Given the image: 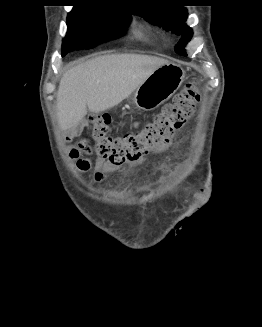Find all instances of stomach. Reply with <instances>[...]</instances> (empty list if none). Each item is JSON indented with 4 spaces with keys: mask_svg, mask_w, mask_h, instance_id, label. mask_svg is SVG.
<instances>
[{
    "mask_svg": "<svg viewBox=\"0 0 262 327\" xmlns=\"http://www.w3.org/2000/svg\"><path fill=\"white\" fill-rule=\"evenodd\" d=\"M185 78L183 68L167 63L157 68L130 96L131 103L138 109L154 110L179 89Z\"/></svg>",
    "mask_w": 262,
    "mask_h": 327,
    "instance_id": "obj_1",
    "label": "stomach"
}]
</instances>
